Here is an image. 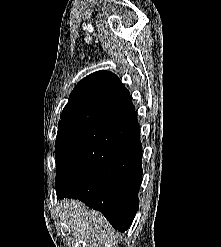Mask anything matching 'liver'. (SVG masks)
<instances>
[{"mask_svg": "<svg viewBox=\"0 0 221 247\" xmlns=\"http://www.w3.org/2000/svg\"><path fill=\"white\" fill-rule=\"evenodd\" d=\"M60 209L62 218L81 239L102 247H113L118 242L114 229L101 213L72 199L61 202Z\"/></svg>", "mask_w": 221, "mask_h": 247, "instance_id": "6515ba94", "label": "liver"}]
</instances>
